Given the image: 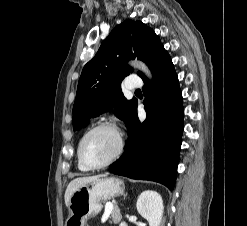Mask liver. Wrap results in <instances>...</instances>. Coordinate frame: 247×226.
Listing matches in <instances>:
<instances>
[{"instance_id": "1", "label": "liver", "mask_w": 247, "mask_h": 226, "mask_svg": "<svg viewBox=\"0 0 247 226\" xmlns=\"http://www.w3.org/2000/svg\"><path fill=\"white\" fill-rule=\"evenodd\" d=\"M103 175H96V176H89V177H79L76 179H73L69 185L67 186V189L65 191V204L68 207L70 197L72 196L73 192L76 191L79 187H81L84 184H87L97 178H101Z\"/></svg>"}]
</instances>
